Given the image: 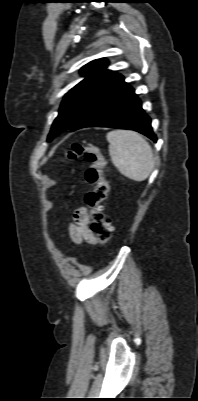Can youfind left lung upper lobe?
Here are the masks:
<instances>
[{"instance_id":"obj_1","label":"left lung upper lobe","mask_w":198,"mask_h":401,"mask_svg":"<svg viewBox=\"0 0 198 401\" xmlns=\"http://www.w3.org/2000/svg\"><path fill=\"white\" fill-rule=\"evenodd\" d=\"M107 64L108 61L102 58L91 61L82 68L80 73L85 76V79L65 95L59 114L48 135V141L70 129L90 102L117 75L116 72L106 69Z\"/></svg>"}]
</instances>
